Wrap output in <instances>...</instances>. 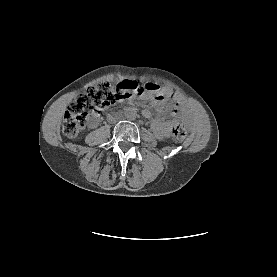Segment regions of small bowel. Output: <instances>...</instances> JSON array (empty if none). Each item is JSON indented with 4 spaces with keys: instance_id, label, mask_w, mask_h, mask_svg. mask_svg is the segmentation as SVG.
<instances>
[{
    "instance_id": "small-bowel-1",
    "label": "small bowel",
    "mask_w": 277,
    "mask_h": 277,
    "mask_svg": "<svg viewBox=\"0 0 277 277\" xmlns=\"http://www.w3.org/2000/svg\"><path fill=\"white\" fill-rule=\"evenodd\" d=\"M148 86L152 88L154 91L158 93V105L156 107V114L155 116L152 112L148 109L143 110V116L152 120V130L154 131L155 135L159 138H167L170 136L172 127L178 123L180 118H176L171 122L165 123L163 120L164 115L169 110L167 104L176 101L175 94L167 89H161L158 86L148 83ZM99 122V116L97 114L93 115L89 119V125L91 127H95Z\"/></svg>"
}]
</instances>
